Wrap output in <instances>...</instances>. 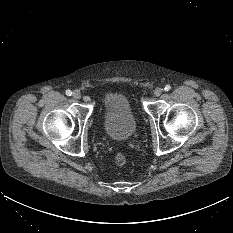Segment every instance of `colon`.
Returning a JSON list of instances; mask_svg holds the SVG:
<instances>
[{"instance_id": "colon-1", "label": "colon", "mask_w": 233, "mask_h": 233, "mask_svg": "<svg viewBox=\"0 0 233 233\" xmlns=\"http://www.w3.org/2000/svg\"><path fill=\"white\" fill-rule=\"evenodd\" d=\"M127 161V158L124 154L118 153L115 157V162L119 166H123Z\"/></svg>"}]
</instances>
